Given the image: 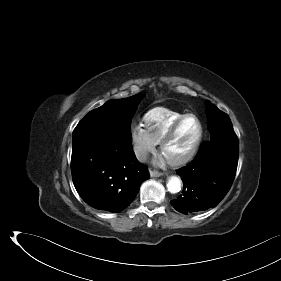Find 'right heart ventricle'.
Segmentation results:
<instances>
[{"label": "right heart ventricle", "mask_w": 281, "mask_h": 281, "mask_svg": "<svg viewBox=\"0 0 281 281\" xmlns=\"http://www.w3.org/2000/svg\"><path fill=\"white\" fill-rule=\"evenodd\" d=\"M184 114L165 107L152 108L143 117L144 128L152 140L159 143L169 128Z\"/></svg>", "instance_id": "right-heart-ventricle-1"}]
</instances>
